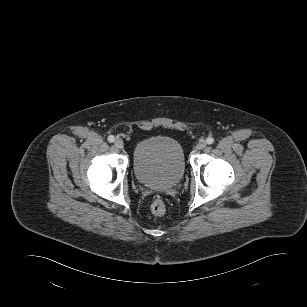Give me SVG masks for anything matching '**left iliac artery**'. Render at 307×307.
I'll list each match as a JSON object with an SVG mask.
<instances>
[{"label":"left iliac artery","mask_w":307,"mask_h":307,"mask_svg":"<svg viewBox=\"0 0 307 307\" xmlns=\"http://www.w3.org/2000/svg\"><path fill=\"white\" fill-rule=\"evenodd\" d=\"M214 142V138L213 137H208L207 139H206V143L207 144H212Z\"/></svg>","instance_id":"left-iliac-artery-1"}]
</instances>
